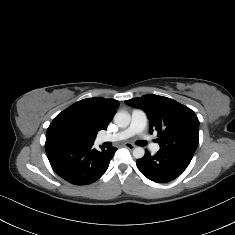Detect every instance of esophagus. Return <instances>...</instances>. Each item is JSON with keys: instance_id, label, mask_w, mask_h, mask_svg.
<instances>
[{"instance_id": "34e87169", "label": "esophagus", "mask_w": 235, "mask_h": 235, "mask_svg": "<svg viewBox=\"0 0 235 235\" xmlns=\"http://www.w3.org/2000/svg\"><path fill=\"white\" fill-rule=\"evenodd\" d=\"M123 145H124V147L128 148L129 150H133L136 147L134 144L128 143V142L124 143Z\"/></svg>"}]
</instances>
